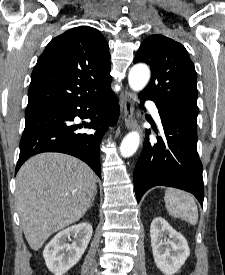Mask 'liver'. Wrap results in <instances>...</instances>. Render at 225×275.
Returning a JSON list of instances; mask_svg holds the SVG:
<instances>
[{"instance_id":"obj_1","label":"liver","mask_w":225,"mask_h":275,"mask_svg":"<svg viewBox=\"0 0 225 275\" xmlns=\"http://www.w3.org/2000/svg\"><path fill=\"white\" fill-rule=\"evenodd\" d=\"M96 181L87 164L67 154L41 153L22 165L16 176L17 207L32 250L84 216Z\"/></svg>"}]
</instances>
